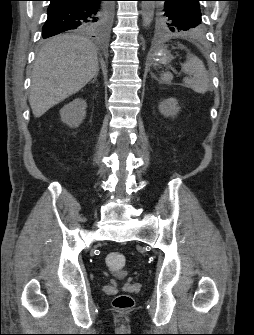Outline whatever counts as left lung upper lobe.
I'll list each match as a JSON object with an SVG mask.
<instances>
[{
  "instance_id": "left-lung-upper-lobe-1",
  "label": "left lung upper lobe",
  "mask_w": 254,
  "mask_h": 335,
  "mask_svg": "<svg viewBox=\"0 0 254 335\" xmlns=\"http://www.w3.org/2000/svg\"><path fill=\"white\" fill-rule=\"evenodd\" d=\"M162 1L156 10L157 26L169 32L200 31L203 27L201 0ZM164 3V4H163Z\"/></svg>"
}]
</instances>
